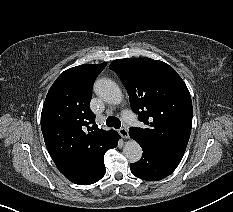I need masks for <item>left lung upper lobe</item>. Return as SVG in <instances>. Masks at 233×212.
<instances>
[{
	"mask_svg": "<svg viewBox=\"0 0 233 212\" xmlns=\"http://www.w3.org/2000/svg\"><path fill=\"white\" fill-rule=\"evenodd\" d=\"M110 69L122 80L132 110L146 126L131 127V138L184 155L192 126L188 88L168 64L150 58L117 59Z\"/></svg>",
	"mask_w": 233,
	"mask_h": 212,
	"instance_id": "obj_1",
	"label": "left lung upper lobe"
}]
</instances>
